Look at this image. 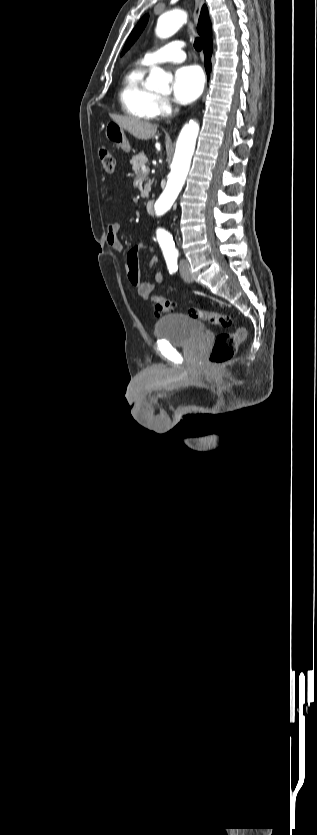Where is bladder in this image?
<instances>
[{
    "label": "bladder",
    "mask_w": 317,
    "mask_h": 835,
    "mask_svg": "<svg viewBox=\"0 0 317 835\" xmlns=\"http://www.w3.org/2000/svg\"><path fill=\"white\" fill-rule=\"evenodd\" d=\"M155 336L176 346H187L202 338L204 324L189 315L172 313L162 316L155 323Z\"/></svg>",
    "instance_id": "obj_1"
}]
</instances>
